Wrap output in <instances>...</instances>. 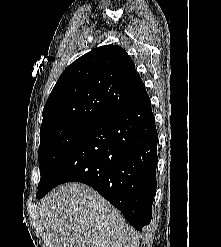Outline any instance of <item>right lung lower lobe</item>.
<instances>
[{
    "instance_id": "1",
    "label": "right lung lower lobe",
    "mask_w": 221,
    "mask_h": 247,
    "mask_svg": "<svg viewBox=\"0 0 221 247\" xmlns=\"http://www.w3.org/2000/svg\"><path fill=\"white\" fill-rule=\"evenodd\" d=\"M158 135L150 98L107 117L68 151L37 192L41 199L65 182H81L97 190L142 231L152 218L157 187Z\"/></svg>"
}]
</instances>
